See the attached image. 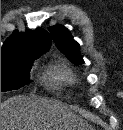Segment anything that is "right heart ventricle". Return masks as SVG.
I'll return each mask as SVG.
<instances>
[{
	"label": "right heart ventricle",
	"mask_w": 123,
	"mask_h": 130,
	"mask_svg": "<svg viewBox=\"0 0 123 130\" xmlns=\"http://www.w3.org/2000/svg\"><path fill=\"white\" fill-rule=\"evenodd\" d=\"M45 79L53 87H69L76 83L74 72L64 63H56L48 66Z\"/></svg>",
	"instance_id": "right-heart-ventricle-1"
}]
</instances>
